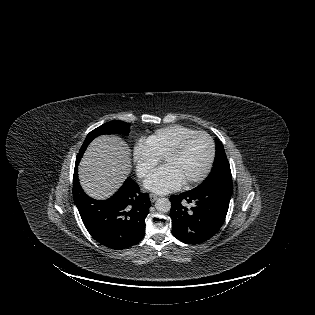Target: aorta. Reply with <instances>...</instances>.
Instances as JSON below:
<instances>
[{"label": "aorta", "instance_id": "762f6f07", "mask_svg": "<svg viewBox=\"0 0 315 315\" xmlns=\"http://www.w3.org/2000/svg\"><path fill=\"white\" fill-rule=\"evenodd\" d=\"M155 208L157 211L162 213L168 212L171 209V202L167 198H159L155 202Z\"/></svg>", "mask_w": 315, "mask_h": 315}]
</instances>
